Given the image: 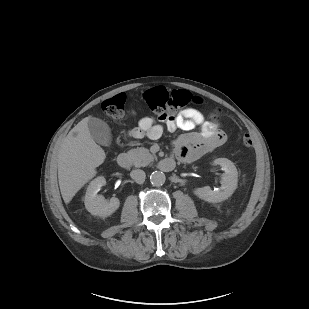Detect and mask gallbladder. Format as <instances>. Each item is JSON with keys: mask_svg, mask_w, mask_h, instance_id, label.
<instances>
[{"mask_svg": "<svg viewBox=\"0 0 309 309\" xmlns=\"http://www.w3.org/2000/svg\"><path fill=\"white\" fill-rule=\"evenodd\" d=\"M88 128L95 142L102 146H110L112 135L106 122L99 118L92 117L88 121Z\"/></svg>", "mask_w": 309, "mask_h": 309, "instance_id": "1", "label": "gallbladder"}]
</instances>
